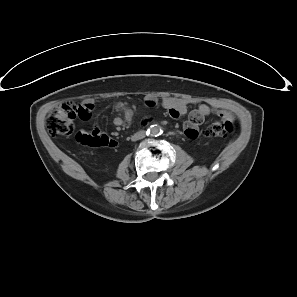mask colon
Returning a JSON list of instances; mask_svg holds the SVG:
<instances>
[{
  "instance_id": "obj_1",
  "label": "colon",
  "mask_w": 297,
  "mask_h": 297,
  "mask_svg": "<svg viewBox=\"0 0 297 297\" xmlns=\"http://www.w3.org/2000/svg\"><path fill=\"white\" fill-rule=\"evenodd\" d=\"M93 106L88 103L66 102L58 105L47 118V130L51 135H70L74 130V120H88ZM234 129L233 122L224 114L206 130L208 137L224 138ZM77 141L91 147H114L116 142L107 134L94 130L77 134Z\"/></svg>"
}]
</instances>
